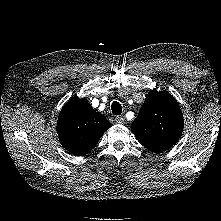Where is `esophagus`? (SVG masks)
<instances>
[{"label":"esophagus","mask_w":221,"mask_h":221,"mask_svg":"<svg viewBox=\"0 0 221 221\" xmlns=\"http://www.w3.org/2000/svg\"><path fill=\"white\" fill-rule=\"evenodd\" d=\"M114 121L116 124H124L125 122L124 118L121 116H116Z\"/></svg>","instance_id":"obj_1"}]
</instances>
